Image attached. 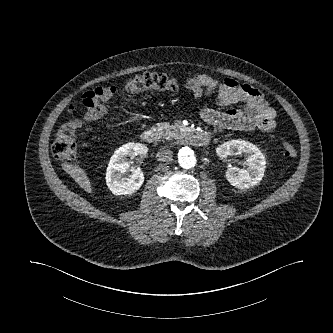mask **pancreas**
<instances>
[{
  "mask_svg": "<svg viewBox=\"0 0 333 333\" xmlns=\"http://www.w3.org/2000/svg\"><path fill=\"white\" fill-rule=\"evenodd\" d=\"M156 129L159 135L166 139H171L178 135V129L167 122L158 123Z\"/></svg>",
  "mask_w": 333,
  "mask_h": 333,
  "instance_id": "pancreas-1",
  "label": "pancreas"
}]
</instances>
